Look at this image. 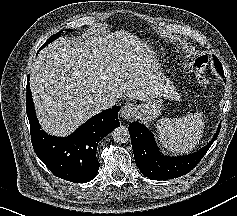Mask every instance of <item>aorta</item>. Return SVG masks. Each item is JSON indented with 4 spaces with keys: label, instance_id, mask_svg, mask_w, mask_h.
<instances>
[{
    "label": "aorta",
    "instance_id": "1",
    "mask_svg": "<svg viewBox=\"0 0 237 216\" xmlns=\"http://www.w3.org/2000/svg\"><path fill=\"white\" fill-rule=\"evenodd\" d=\"M112 137L118 144L128 143L131 140L129 129L125 126L115 128L112 132Z\"/></svg>",
    "mask_w": 237,
    "mask_h": 216
}]
</instances>
